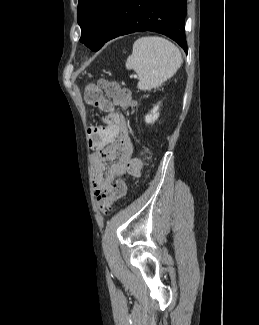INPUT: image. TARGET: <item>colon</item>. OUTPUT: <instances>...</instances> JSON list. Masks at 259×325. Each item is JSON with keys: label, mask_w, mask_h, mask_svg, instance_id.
<instances>
[{"label": "colon", "mask_w": 259, "mask_h": 325, "mask_svg": "<svg viewBox=\"0 0 259 325\" xmlns=\"http://www.w3.org/2000/svg\"><path fill=\"white\" fill-rule=\"evenodd\" d=\"M84 98L87 103L97 106L102 110L109 104L108 101L122 108H131L135 104L131 91L127 87L117 81L108 79H99L88 83L84 90ZM106 122L111 124L112 118L108 116ZM87 129L90 132L87 136V141L99 142L100 128L97 125H88ZM126 191V183L123 179H118L111 193L98 195L97 202L100 211L102 213L110 211L114 203L125 196Z\"/></svg>", "instance_id": "1"}]
</instances>
